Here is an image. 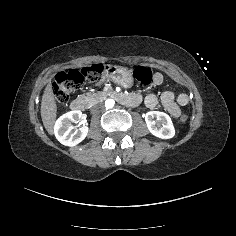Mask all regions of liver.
I'll return each instance as SVG.
<instances>
[{"label":"liver","instance_id":"obj_1","mask_svg":"<svg viewBox=\"0 0 236 236\" xmlns=\"http://www.w3.org/2000/svg\"><path fill=\"white\" fill-rule=\"evenodd\" d=\"M40 114L47 133L53 136L55 133V121L58 114V108L51 82L47 84L44 90L40 106Z\"/></svg>","mask_w":236,"mask_h":236}]
</instances>
